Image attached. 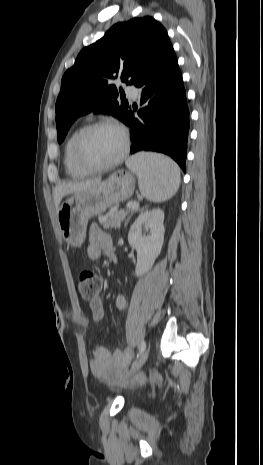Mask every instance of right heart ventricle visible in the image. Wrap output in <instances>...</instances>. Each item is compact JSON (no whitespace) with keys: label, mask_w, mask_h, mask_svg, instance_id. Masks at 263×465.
Wrapping results in <instances>:
<instances>
[{"label":"right heart ventricle","mask_w":263,"mask_h":465,"mask_svg":"<svg viewBox=\"0 0 263 465\" xmlns=\"http://www.w3.org/2000/svg\"><path fill=\"white\" fill-rule=\"evenodd\" d=\"M79 128L74 129L69 137L67 138L65 145H64V155H63V163L67 174L75 179H80L86 177L89 172L83 170L75 161L74 158V142L75 138L79 132Z\"/></svg>","instance_id":"obj_1"}]
</instances>
